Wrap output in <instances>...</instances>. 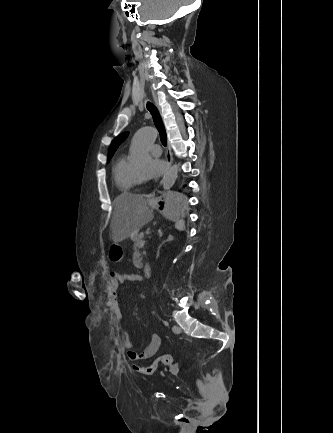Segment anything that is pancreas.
I'll list each match as a JSON object with an SVG mask.
<instances>
[{
	"mask_svg": "<svg viewBox=\"0 0 333 433\" xmlns=\"http://www.w3.org/2000/svg\"><path fill=\"white\" fill-rule=\"evenodd\" d=\"M143 238H144L143 232H140L139 234H137L135 237L132 238L134 242V246H133L134 251H138V249L140 248V243L143 241Z\"/></svg>",
	"mask_w": 333,
	"mask_h": 433,
	"instance_id": "cf45deb5",
	"label": "pancreas"
}]
</instances>
